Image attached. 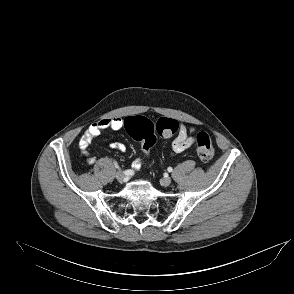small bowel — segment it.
<instances>
[{
	"instance_id": "obj_1",
	"label": "small bowel",
	"mask_w": 294,
	"mask_h": 294,
	"mask_svg": "<svg viewBox=\"0 0 294 294\" xmlns=\"http://www.w3.org/2000/svg\"><path fill=\"white\" fill-rule=\"evenodd\" d=\"M125 123H126V119L122 117L104 118L91 124L88 127V129L84 132V134L80 138L79 147L83 155L86 157V160L89 164H94L96 161V158L93 155H91L89 152V147L91 143L99 137V135L101 134L103 130L105 129L120 130L125 126ZM192 131L193 129L191 128L189 129L184 125L180 126L179 132L171 145L172 154L182 153L183 151L187 150L194 144L195 139L191 135ZM110 147L120 152L126 151V146L120 142H111ZM142 164H143V161L140 159H137L133 163V168L135 170H138L142 166Z\"/></svg>"
}]
</instances>
